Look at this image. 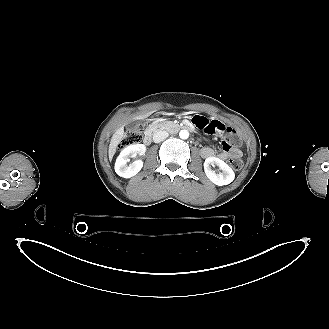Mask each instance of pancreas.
<instances>
[{"label": "pancreas", "mask_w": 329, "mask_h": 329, "mask_svg": "<svg viewBox=\"0 0 329 329\" xmlns=\"http://www.w3.org/2000/svg\"><path fill=\"white\" fill-rule=\"evenodd\" d=\"M159 129L161 130H167V131H173L175 129H177L179 126L178 124L172 122V121H166V122H162L158 125Z\"/></svg>", "instance_id": "cf45deb5"}]
</instances>
